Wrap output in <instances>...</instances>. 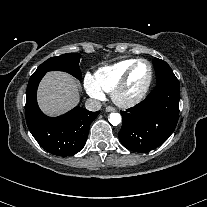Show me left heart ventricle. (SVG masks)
<instances>
[{
    "label": "left heart ventricle",
    "mask_w": 207,
    "mask_h": 207,
    "mask_svg": "<svg viewBox=\"0 0 207 207\" xmlns=\"http://www.w3.org/2000/svg\"><path fill=\"white\" fill-rule=\"evenodd\" d=\"M149 75L148 66L145 63H139L135 66L127 86L122 92L123 98H131L135 96L145 85Z\"/></svg>",
    "instance_id": "left-heart-ventricle-1"
}]
</instances>
